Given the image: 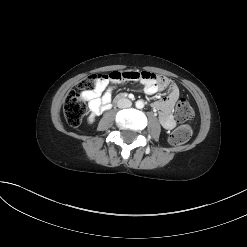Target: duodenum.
<instances>
[{"label": "duodenum", "mask_w": 247, "mask_h": 247, "mask_svg": "<svg viewBox=\"0 0 247 247\" xmlns=\"http://www.w3.org/2000/svg\"><path fill=\"white\" fill-rule=\"evenodd\" d=\"M127 95L124 93V92H122L121 94L120 93H118L117 95H116V97L113 99V103L115 104L117 101H118V99H122V98H125ZM110 109V108H109Z\"/></svg>", "instance_id": "1"}]
</instances>
